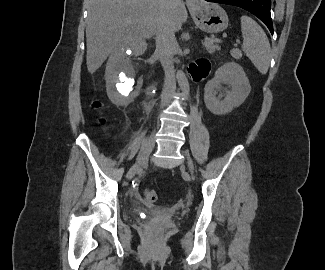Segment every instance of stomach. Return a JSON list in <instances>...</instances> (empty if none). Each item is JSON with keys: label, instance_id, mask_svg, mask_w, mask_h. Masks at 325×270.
Wrapping results in <instances>:
<instances>
[{"label": "stomach", "instance_id": "stomach-1", "mask_svg": "<svg viewBox=\"0 0 325 270\" xmlns=\"http://www.w3.org/2000/svg\"><path fill=\"white\" fill-rule=\"evenodd\" d=\"M190 13L196 26L204 32L218 33L228 26V16L218 5L200 3Z\"/></svg>", "mask_w": 325, "mask_h": 270}]
</instances>
